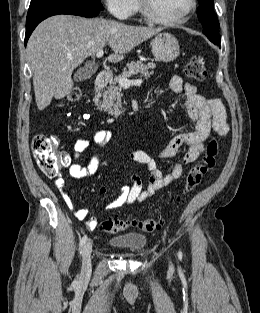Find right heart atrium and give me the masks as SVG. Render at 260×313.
<instances>
[{
  "instance_id": "right-heart-atrium-1",
  "label": "right heart atrium",
  "mask_w": 260,
  "mask_h": 313,
  "mask_svg": "<svg viewBox=\"0 0 260 313\" xmlns=\"http://www.w3.org/2000/svg\"><path fill=\"white\" fill-rule=\"evenodd\" d=\"M108 11L118 19H127L136 9L135 0H103Z\"/></svg>"
}]
</instances>
